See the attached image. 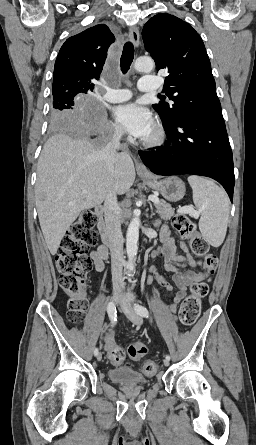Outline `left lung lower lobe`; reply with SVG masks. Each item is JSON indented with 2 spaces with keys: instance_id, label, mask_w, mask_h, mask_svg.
<instances>
[{
  "instance_id": "0a47b994",
  "label": "left lung lower lobe",
  "mask_w": 256,
  "mask_h": 445,
  "mask_svg": "<svg viewBox=\"0 0 256 445\" xmlns=\"http://www.w3.org/2000/svg\"><path fill=\"white\" fill-rule=\"evenodd\" d=\"M163 126L168 142L155 151H139L144 164L158 175L211 177L225 188L232 202L233 158L222 114L183 111Z\"/></svg>"
}]
</instances>
